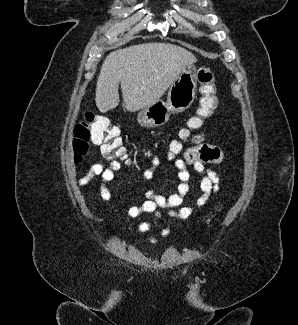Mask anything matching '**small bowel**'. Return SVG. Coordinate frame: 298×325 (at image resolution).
I'll list each match as a JSON object with an SVG mask.
<instances>
[{"mask_svg": "<svg viewBox=\"0 0 298 325\" xmlns=\"http://www.w3.org/2000/svg\"><path fill=\"white\" fill-rule=\"evenodd\" d=\"M223 161V153L221 149L215 145L209 144L205 141L202 134L196 135L192 138V144L183 153L181 158L174 161V166L178 170V178L180 184L178 185L177 193L164 196L155 193L153 190H148L145 193L146 200L139 206H132L127 209L126 215L130 218H137L143 213H151L159 218L162 215V209H168L170 217H178L186 219L193 213V208L189 206H182L184 197L189 191L190 172L188 167L191 166L193 170L201 175L200 189L202 194L196 201L197 207H203L209 198L219 190V177L207 165L220 164ZM161 164V159L158 155L151 158V167L146 169L141 178L144 180H151L154 176V171ZM121 168L119 161L107 158V162H98L91 166L89 171L78 179V184L81 187L88 185L91 180L100 176L103 182H110L114 179L115 173ZM100 197L104 202H109L111 193L105 185L101 186ZM151 224L149 222H141L136 227H129V231L146 234L150 231ZM170 234V228L162 229L160 238H164ZM157 237H149L147 242L149 244L157 243Z\"/></svg>", "mask_w": 298, "mask_h": 325, "instance_id": "c3829d8e", "label": "small bowel"}]
</instances>
